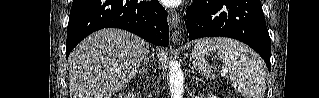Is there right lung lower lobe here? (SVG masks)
<instances>
[{"instance_id":"obj_1","label":"right lung lower lobe","mask_w":319,"mask_h":98,"mask_svg":"<svg viewBox=\"0 0 319 98\" xmlns=\"http://www.w3.org/2000/svg\"><path fill=\"white\" fill-rule=\"evenodd\" d=\"M107 27L125 29L154 45H169L166 11L157 0H73L66 57L87 35Z\"/></svg>"}]
</instances>
